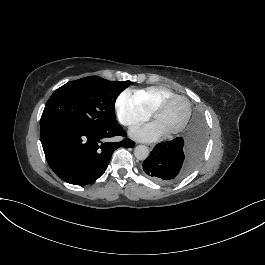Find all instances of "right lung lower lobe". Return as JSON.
<instances>
[{"instance_id":"1","label":"right lung lower lobe","mask_w":265,"mask_h":265,"mask_svg":"<svg viewBox=\"0 0 265 265\" xmlns=\"http://www.w3.org/2000/svg\"><path fill=\"white\" fill-rule=\"evenodd\" d=\"M118 135L126 136L118 123L107 127L63 123L41 130V143L58 177L70 184L87 185L103 175L117 148L134 146L129 139L106 141Z\"/></svg>"}]
</instances>
